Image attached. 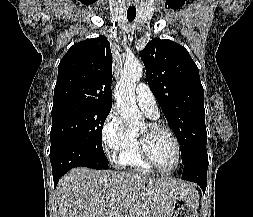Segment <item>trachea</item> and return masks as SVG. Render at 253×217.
Here are the masks:
<instances>
[{
    "mask_svg": "<svg viewBox=\"0 0 253 217\" xmlns=\"http://www.w3.org/2000/svg\"><path fill=\"white\" fill-rule=\"evenodd\" d=\"M136 17V9L135 8H128L127 10V19L129 22H132Z\"/></svg>",
    "mask_w": 253,
    "mask_h": 217,
    "instance_id": "trachea-1",
    "label": "trachea"
}]
</instances>
